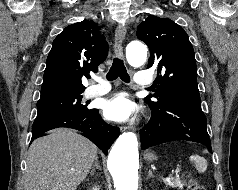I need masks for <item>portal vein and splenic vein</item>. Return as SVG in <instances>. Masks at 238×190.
Wrapping results in <instances>:
<instances>
[{
    "mask_svg": "<svg viewBox=\"0 0 238 190\" xmlns=\"http://www.w3.org/2000/svg\"><path fill=\"white\" fill-rule=\"evenodd\" d=\"M179 170H177L176 172H178ZM167 181H169V179H167Z\"/></svg>",
    "mask_w": 238,
    "mask_h": 190,
    "instance_id": "1",
    "label": "portal vein and splenic vein"
}]
</instances>
